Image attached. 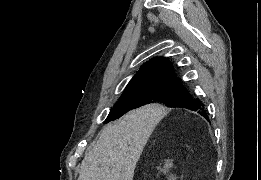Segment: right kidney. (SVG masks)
Instances as JSON below:
<instances>
[{
	"mask_svg": "<svg viewBox=\"0 0 261 180\" xmlns=\"http://www.w3.org/2000/svg\"><path fill=\"white\" fill-rule=\"evenodd\" d=\"M172 166H173L172 160H165L164 170H161L160 168V172H163V174H167L169 168H172ZM172 180H175V178H172Z\"/></svg>",
	"mask_w": 261,
	"mask_h": 180,
	"instance_id": "1",
	"label": "right kidney"
}]
</instances>
